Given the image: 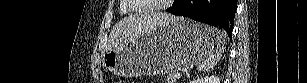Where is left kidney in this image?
<instances>
[{
	"label": "left kidney",
	"mask_w": 307,
	"mask_h": 83,
	"mask_svg": "<svg viewBox=\"0 0 307 83\" xmlns=\"http://www.w3.org/2000/svg\"><path fill=\"white\" fill-rule=\"evenodd\" d=\"M190 83H220L218 76H206L192 80Z\"/></svg>",
	"instance_id": "obj_1"
}]
</instances>
